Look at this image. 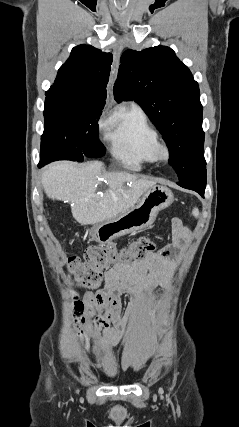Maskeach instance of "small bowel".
Returning <instances> with one entry per match:
<instances>
[{
    "label": "small bowel",
    "instance_id": "small-bowel-1",
    "mask_svg": "<svg viewBox=\"0 0 239 427\" xmlns=\"http://www.w3.org/2000/svg\"><path fill=\"white\" fill-rule=\"evenodd\" d=\"M173 226L171 244L133 263L115 264L105 273L103 287L94 296H88V300L93 301L97 308H107L104 318L95 319V335L99 336L100 330L104 329L103 348H113L123 340L125 331L132 324L131 316L145 311L156 315L161 309V301L148 306L146 293L167 284L174 266L173 257L188 239L189 233L179 219L173 220ZM122 292L131 296L124 315L119 297ZM110 323H114L116 328H112Z\"/></svg>",
    "mask_w": 239,
    "mask_h": 427
}]
</instances>
